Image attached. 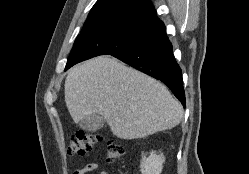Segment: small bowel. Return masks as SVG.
<instances>
[{"label": "small bowel", "instance_id": "1", "mask_svg": "<svg viewBox=\"0 0 249 174\" xmlns=\"http://www.w3.org/2000/svg\"><path fill=\"white\" fill-rule=\"evenodd\" d=\"M94 171H98V174H110L106 170H100V164L97 162L88 163L84 167L75 170L73 174H87Z\"/></svg>", "mask_w": 249, "mask_h": 174}]
</instances>
